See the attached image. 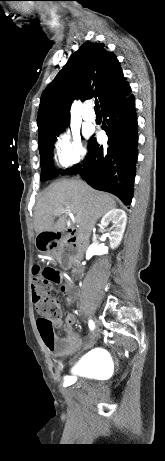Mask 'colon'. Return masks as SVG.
Here are the masks:
<instances>
[{
	"label": "colon",
	"mask_w": 165,
	"mask_h": 461,
	"mask_svg": "<svg viewBox=\"0 0 165 461\" xmlns=\"http://www.w3.org/2000/svg\"><path fill=\"white\" fill-rule=\"evenodd\" d=\"M43 246L52 247L53 242L49 237H42ZM62 283V275L59 269L53 266H36L33 269V281L31 285L32 299L39 314L37 321L41 338L48 349L56 346L53 320L60 316L59 301L50 295L54 285Z\"/></svg>",
	"instance_id": "5ec220e1"
}]
</instances>
